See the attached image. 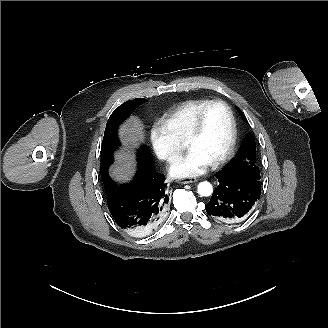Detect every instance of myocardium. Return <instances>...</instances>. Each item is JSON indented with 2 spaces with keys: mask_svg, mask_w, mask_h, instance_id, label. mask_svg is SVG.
I'll return each instance as SVG.
<instances>
[{
  "mask_svg": "<svg viewBox=\"0 0 328 328\" xmlns=\"http://www.w3.org/2000/svg\"><path fill=\"white\" fill-rule=\"evenodd\" d=\"M215 106H223L227 109L230 119H231V124H232V137H231V140H230L227 150L220 158H218L217 160H215L214 162L211 163L212 167L217 168V167L225 164L226 162H228L231 159V157L235 153L237 143H238V135H239L238 123H237L235 112H234L232 106L228 102H226L224 100H212L207 105H205L196 115L193 124L191 125V127L189 128V130L185 136L183 144L186 147L187 143L189 141H191L192 139H194L200 133L207 113L209 112L210 109H212Z\"/></svg>",
  "mask_w": 328,
  "mask_h": 328,
  "instance_id": "f54148a6",
  "label": "myocardium"
}]
</instances>
